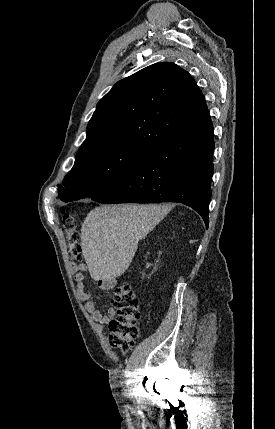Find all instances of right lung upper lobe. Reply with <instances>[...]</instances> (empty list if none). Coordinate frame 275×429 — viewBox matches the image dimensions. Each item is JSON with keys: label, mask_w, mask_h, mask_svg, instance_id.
Instances as JSON below:
<instances>
[{"label": "right lung upper lobe", "mask_w": 275, "mask_h": 429, "mask_svg": "<svg viewBox=\"0 0 275 429\" xmlns=\"http://www.w3.org/2000/svg\"><path fill=\"white\" fill-rule=\"evenodd\" d=\"M211 125L205 98L191 75L174 63H156L120 80L99 101L76 160L117 145L151 153Z\"/></svg>", "instance_id": "obj_1"}]
</instances>
